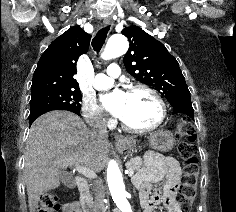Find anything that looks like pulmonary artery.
Returning <instances> with one entry per match:
<instances>
[{
  "label": "pulmonary artery",
  "mask_w": 236,
  "mask_h": 212,
  "mask_svg": "<svg viewBox=\"0 0 236 212\" xmlns=\"http://www.w3.org/2000/svg\"><path fill=\"white\" fill-rule=\"evenodd\" d=\"M121 73V69L118 64L112 63L108 66L106 74H97L94 79V86L97 89L109 88L114 79L117 78Z\"/></svg>",
  "instance_id": "obj_1"
}]
</instances>
